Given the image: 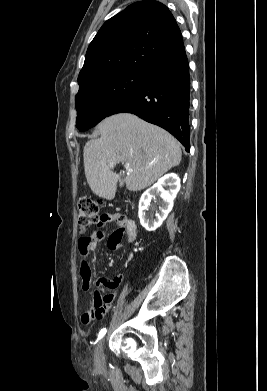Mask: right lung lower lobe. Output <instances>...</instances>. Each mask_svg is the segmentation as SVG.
I'll use <instances>...</instances> for the list:
<instances>
[{
    "label": "right lung lower lobe",
    "instance_id": "obj_1",
    "mask_svg": "<svg viewBox=\"0 0 267 391\" xmlns=\"http://www.w3.org/2000/svg\"><path fill=\"white\" fill-rule=\"evenodd\" d=\"M190 75L185 51L151 67L141 87L113 109L110 115L128 112L156 124L190 149Z\"/></svg>",
    "mask_w": 267,
    "mask_h": 391
}]
</instances>
